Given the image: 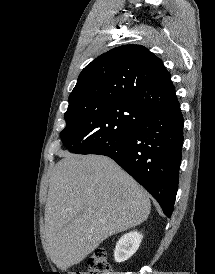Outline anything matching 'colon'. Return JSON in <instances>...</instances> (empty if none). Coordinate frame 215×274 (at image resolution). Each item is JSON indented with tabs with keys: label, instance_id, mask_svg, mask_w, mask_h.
<instances>
[{
	"label": "colon",
	"instance_id": "5ec220e1",
	"mask_svg": "<svg viewBox=\"0 0 215 274\" xmlns=\"http://www.w3.org/2000/svg\"><path fill=\"white\" fill-rule=\"evenodd\" d=\"M110 266L107 261V254L103 248H97L89 259L88 270L72 274H109Z\"/></svg>",
	"mask_w": 215,
	"mask_h": 274
}]
</instances>
